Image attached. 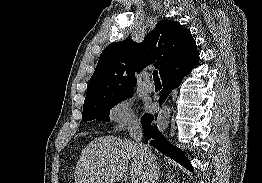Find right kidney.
Masks as SVG:
<instances>
[{
    "instance_id": "right-kidney-1",
    "label": "right kidney",
    "mask_w": 262,
    "mask_h": 183,
    "mask_svg": "<svg viewBox=\"0 0 262 183\" xmlns=\"http://www.w3.org/2000/svg\"><path fill=\"white\" fill-rule=\"evenodd\" d=\"M174 178V176L173 177H171V178H169V180H168V182L167 183H175V180L172 182V179Z\"/></svg>"
}]
</instances>
